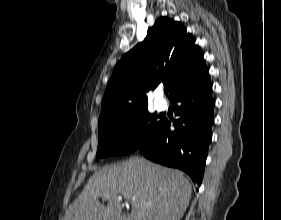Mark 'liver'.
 <instances>
[{"label": "liver", "instance_id": "obj_1", "mask_svg": "<svg viewBox=\"0 0 281 220\" xmlns=\"http://www.w3.org/2000/svg\"><path fill=\"white\" fill-rule=\"evenodd\" d=\"M191 194L182 172L135 156L96 171L69 205L64 220H119L121 197L136 199L124 220H180ZM99 198L107 199L108 205Z\"/></svg>", "mask_w": 281, "mask_h": 220}]
</instances>
